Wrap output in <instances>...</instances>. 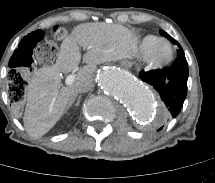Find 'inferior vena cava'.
<instances>
[{
    "instance_id": "1",
    "label": "inferior vena cava",
    "mask_w": 215,
    "mask_h": 183,
    "mask_svg": "<svg viewBox=\"0 0 215 183\" xmlns=\"http://www.w3.org/2000/svg\"><path fill=\"white\" fill-rule=\"evenodd\" d=\"M92 88H93V82L91 80H83L77 83L76 92L84 93V92H88Z\"/></svg>"
}]
</instances>
